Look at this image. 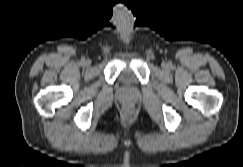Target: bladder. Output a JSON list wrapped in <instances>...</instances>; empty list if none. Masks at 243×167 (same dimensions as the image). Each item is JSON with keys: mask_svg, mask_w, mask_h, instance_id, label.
Here are the masks:
<instances>
[{"mask_svg": "<svg viewBox=\"0 0 243 167\" xmlns=\"http://www.w3.org/2000/svg\"><path fill=\"white\" fill-rule=\"evenodd\" d=\"M121 78L124 81H130V80L134 79V74L131 70L126 69V70L122 71Z\"/></svg>", "mask_w": 243, "mask_h": 167, "instance_id": "bladder-1", "label": "bladder"}]
</instances>
